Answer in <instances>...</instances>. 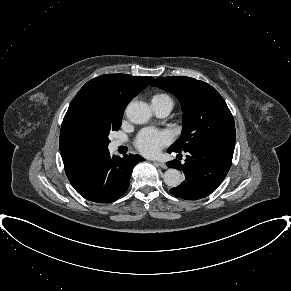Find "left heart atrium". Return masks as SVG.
Returning a JSON list of instances; mask_svg holds the SVG:
<instances>
[{"label": "left heart atrium", "instance_id": "left-heart-atrium-1", "mask_svg": "<svg viewBox=\"0 0 291 291\" xmlns=\"http://www.w3.org/2000/svg\"><path fill=\"white\" fill-rule=\"evenodd\" d=\"M170 141L171 135L167 131L146 128L137 135L135 146L144 155L154 156Z\"/></svg>", "mask_w": 291, "mask_h": 291}]
</instances>
